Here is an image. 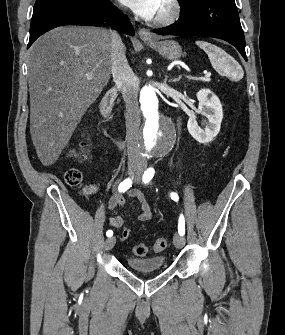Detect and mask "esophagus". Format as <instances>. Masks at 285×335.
<instances>
[{
  "label": "esophagus",
  "mask_w": 285,
  "mask_h": 335,
  "mask_svg": "<svg viewBox=\"0 0 285 335\" xmlns=\"http://www.w3.org/2000/svg\"><path fill=\"white\" fill-rule=\"evenodd\" d=\"M139 37L144 39V40H152L153 36L147 28H140L139 30Z\"/></svg>",
  "instance_id": "esophagus-1"
}]
</instances>
